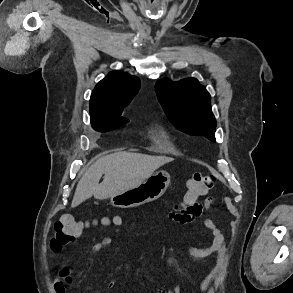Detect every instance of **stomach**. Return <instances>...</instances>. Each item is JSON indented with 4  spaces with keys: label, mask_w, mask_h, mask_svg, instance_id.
Instances as JSON below:
<instances>
[{
    "label": "stomach",
    "mask_w": 293,
    "mask_h": 293,
    "mask_svg": "<svg viewBox=\"0 0 293 293\" xmlns=\"http://www.w3.org/2000/svg\"><path fill=\"white\" fill-rule=\"evenodd\" d=\"M169 184L170 175L167 172H155L138 186L111 197V204L118 208L140 206L160 198Z\"/></svg>",
    "instance_id": "1"
}]
</instances>
